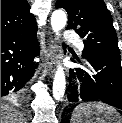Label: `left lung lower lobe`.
<instances>
[{"mask_svg": "<svg viewBox=\"0 0 122 123\" xmlns=\"http://www.w3.org/2000/svg\"><path fill=\"white\" fill-rule=\"evenodd\" d=\"M84 58L87 61L88 70L76 68L75 71L71 70L70 72L73 78L77 75L82 84L79 89L78 86H70L69 101H99L122 110V68L120 60L94 52L86 53ZM71 61L81 63L75 54Z\"/></svg>", "mask_w": 122, "mask_h": 123, "instance_id": "obj_1", "label": "left lung lower lobe"}]
</instances>
